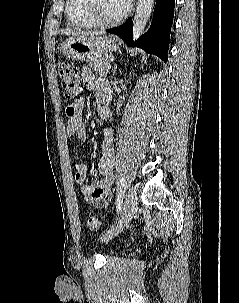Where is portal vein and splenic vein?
<instances>
[{
	"instance_id": "18ae733b",
	"label": "portal vein and splenic vein",
	"mask_w": 239,
	"mask_h": 303,
	"mask_svg": "<svg viewBox=\"0 0 239 303\" xmlns=\"http://www.w3.org/2000/svg\"><path fill=\"white\" fill-rule=\"evenodd\" d=\"M106 68H107L108 70L111 68L110 63H107V64H106Z\"/></svg>"
}]
</instances>
